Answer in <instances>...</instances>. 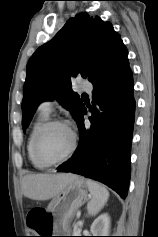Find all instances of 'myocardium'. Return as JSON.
I'll list each match as a JSON object with an SVG mask.
<instances>
[{"label":"myocardium","instance_id":"1","mask_svg":"<svg viewBox=\"0 0 158 237\" xmlns=\"http://www.w3.org/2000/svg\"><path fill=\"white\" fill-rule=\"evenodd\" d=\"M54 126L66 127L71 134L72 141H71V145H70L67 153L64 156H62L61 158H58V159H48V158L44 157L40 151V142H41V139L43 138L44 134ZM76 147H77V136H76L75 132L72 130V128L69 126V124L62 119H53V120H49L46 123H44L41 126V128L38 130V132L36 133L34 141H33L34 156L36 157V159L39 162H41L47 166L57 165V164H61L65 161H67L75 152Z\"/></svg>","mask_w":158,"mask_h":237}]
</instances>
